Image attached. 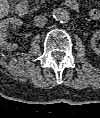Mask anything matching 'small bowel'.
Segmentation results:
<instances>
[{
  "label": "small bowel",
  "instance_id": "small-bowel-1",
  "mask_svg": "<svg viewBox=\"0 0 100 118\" xmlns=\"http://www.w3.org/2000/svg\"><path fill=\"white\" fill-rule=\"evenodd\" d=\"M91 15H92V17L97 18L99 16V11L94 9V10H92Z\"/></svg>",
  "mask_w": 100,
  "mask_h": 118
}]
</instances>
